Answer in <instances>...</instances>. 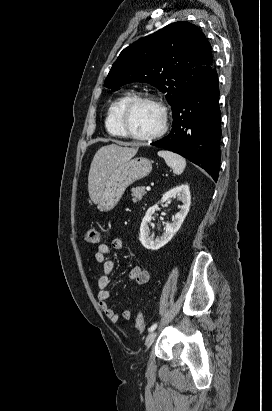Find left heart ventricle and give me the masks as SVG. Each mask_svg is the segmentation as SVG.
I'll use <instances>...</instances> for the list:
<instances>
[{
    "label": "left heart ventricle",
    "mask_w": 272,
    "mask_h": 411,
    "mask_svg": "<svg viewBox=\"0 0 272 411\" xmlns=\"http://www.w3.org/2000/svg\"><path fill=\"white\" fill-rule=\"evenodd\" d=\"M160 110L151 103H137L130 110L127 125L130 131L137 135H150L161 125Z\"/></svg>",
    "instance_id": "b2bd125f"
}]
</instances>
